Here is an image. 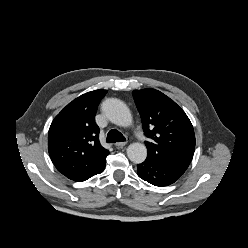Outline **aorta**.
Returning a JSON list of instances; mask_svg holds the SVG:
<instances>
[{
	"label": "aorta",
	"instance_id": "obj_1",
	"mask_svg": "<svg viewBox=\"0 0 248 248\" xmlns=\"http://www.w3.org/2000/svg\"><path fill=\"white\" fill-rule=\"evenodd\" d=\"M102 111L112 123L118 126L125 127L132 123L129 108L117 98L106 99L102 104ZM127 156L132 162L140 164L147 157V149L142 143H132L127 148Z\"/></svg>",
	"mask_w": 248,
	"mask_h": 248
}]
</instances>
